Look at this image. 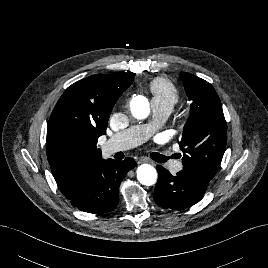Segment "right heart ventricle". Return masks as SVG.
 I'll return each mask as SVG.
<instances>
[{"instance_id": "e07e8e85", "label": "right heart ventricle", "mask_w": 268, "mask_h": 268, "mask_svg": "<svg viewBox=\"0 0 268 268\" xmlns=\"http://www.w3.org/2000/svg\"><path fill=\"white\" fill-rule=\"evenodd\" d=\"M152 100L160 104L169 106L171 109L178 102L180 92L178 88L166 78H155L150 84Z\"/></svg>"}]
</instances>
